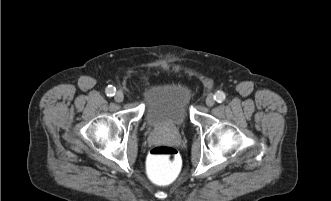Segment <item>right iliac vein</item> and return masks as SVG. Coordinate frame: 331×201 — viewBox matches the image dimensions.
Here are the masks:
<instances>
[{"instance_id":"63e3f726","label":"right iliac vein","mask_w":331,"mask_h":201,"mask_svg":"<svg viewBox=\"0 0 331 201\" xmlns=\"http://www.w3.org/2000/svg\"><path fill=\"white\" fill-rule=\"evenodd\" d=\"M114 99H115L116 102H122L123 99H124V94H123V92L120 91V90L117 91L116 94H115V96H114Z\"/></svg>"}]
</instances>
